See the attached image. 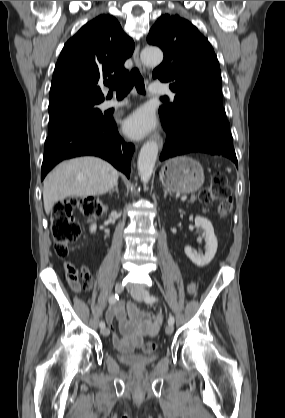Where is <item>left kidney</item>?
<instances>
[{
	"label": "left kidney",
	"instance_id": "5707ae66",
	"mask_svg": "<svg viewBox=\"0 0 285 418\" xmlns=\"http://www.w3.org/2000/svg\"><path fill=\"white\" fill-rule=\"evenodd\" d=\"M195 226L200 227L203 230V235L205 237V254L201 255L193 251L189 246L184 248V252L189 257V259L199 267H203L211 262L214 258L218 242L217 237L214 233V228L212 223L205 217L197 216L195 217Z\"/></svg>",
	"mask_w": 285,
	"mask_h": 418
}]
</instances>
